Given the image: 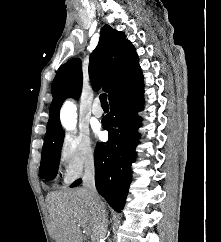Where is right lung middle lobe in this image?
Here are the masks:
<instances>
[{"label": "right lung middle lobe", "mask_w": 221, "mask_h": 242, "mask_svg": "<svg viewBox=\"0 0 221 242\" xmlns=\"http://www.w3.org/2000/svg\"><path fill=\"white\" fill-rule=\"evenodd\" d=\"M64 132L44 139L39 175L50 181L57 174Z\"/></svg>", "instance_id": "right-lung-middle-lobe-1"}]
</instances>
